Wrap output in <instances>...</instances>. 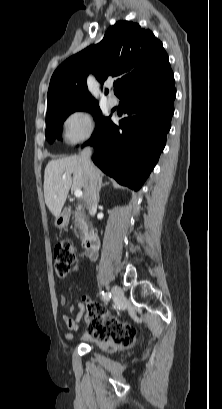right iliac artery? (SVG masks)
Instances as JSON below:
<instances>
[{
  "label": "right iliac artery",
  "mask_w": 222,
  "mask_h": 409,
  "mask_svg": "<svg viewBox=\"0 0 222 409\" xmlns=\"http://www.w3.org/2000/svg\"><path fill=\"white\" fill-rule=\"evenodd\" d=\"M111 293L110 292H102V297L105 301H109L111 298Z\"/></svg>",
  "instance_id": "1"
}]
</instances>
